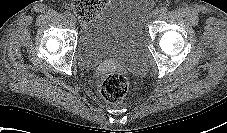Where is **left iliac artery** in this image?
<instances>
[{
	"instance_id": "left-iliac-artery-1",
	"label": "left iliac artery",
	"mask_w": 227,
	"mask_h": 133,
	"mask_svg": "<svg viewBox=\"0 0 227 133\" xmlns=\"http://www.w3.org/2000/svg\"><path fill=\"white\" fill-rule=\"evenodd\" d=\"M159 12L162 14H166L168 12V9H167V7H161Z\"/></svg>"
}]
</instances>
